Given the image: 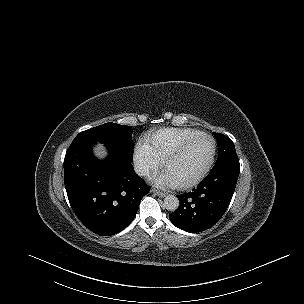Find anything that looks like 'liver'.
I'll list each match as a JSON object with an SVG mask.
<instances>
[{"label":"liver","mask_w":304,"mask_h":304,"mask_svg":"<svg viewBox=\"0 0 304 304\" xmlns=\"http://www.w3.org/2000/svg\"><path fill=\"white\" fill-rule=\"evenodd\" d=\"M94 154L99 159H103L107 155V150L102 144H97V146L94 149Z\"/></svg>","instance_id":"obj_1"}]
</instances>
